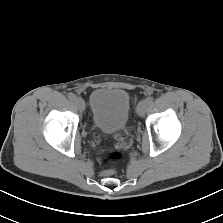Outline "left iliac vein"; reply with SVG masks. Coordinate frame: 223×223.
Wrapping results in <instances>:
<instances>
[{"label":"left iliac vein","instance_id":"1","mask_svg":"<svg viewBox=\"0 0 223 223\" xmlns=\"http://www.w3.org/2000/svg\"><path fill=\"white\" fill-rule=\"evenodd\" d=\"M147 106H148V104L146 103L145 100L139 102V104L137 105V108H136L137 114L139 116H143L146 111Z\"/></svg>","mask_w":223,"mask_h":223}]
</instances>
